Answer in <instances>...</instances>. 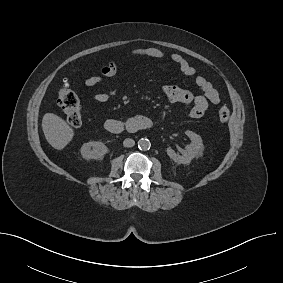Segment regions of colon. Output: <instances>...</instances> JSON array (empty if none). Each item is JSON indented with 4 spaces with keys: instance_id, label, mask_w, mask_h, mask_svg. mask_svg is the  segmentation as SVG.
<instances>
[{
    "instance_id": "1",
    "label": "colon",
    "mask_w": 283,
    "mask_h": 283,
    "mask_svg": "<svg viewBox=\"0 0 283 283\" xmlns=\"http://www.w3.org/2000/svg\"><path fill=\"white\" fill-rule=\"evenodd\" d=\"M57 101L66 115L69 126L77 128L82 123L81 104L77 94L72 90L70 81H63L57 93ZM220 122L227 123L230 119L228 107L222 106L218 111Z\"/></svg>"
}]
</instances>
